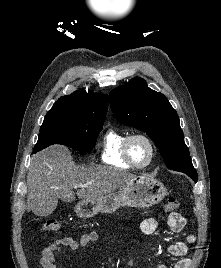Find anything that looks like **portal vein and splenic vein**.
I'll list each match as a JSON object with an SVG mask.
<instances>
[{
	"label": "portal vein and splenic vein",
	"mask_w": 221,
	"mask_h": 268,
	"mask_svg": "<svg viewBox=\"0 0 221 268\" xmlns=\"http://www.w3.org/2000/svg\"><path fill=\"white\" fill-rule=\"evenodd\" d=\"M82 187V185H75L74 188Z\"/></svg>",
	"instance_id": "obj_1"
}]
</instances>
